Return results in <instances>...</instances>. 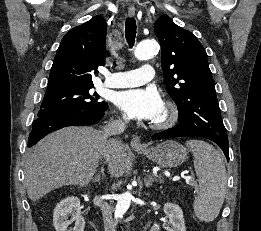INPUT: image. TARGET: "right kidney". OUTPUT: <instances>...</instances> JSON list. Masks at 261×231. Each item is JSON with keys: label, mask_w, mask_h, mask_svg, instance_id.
<instances>
[{"label": "right kidney", "mask_w": 261, "mask_h": 231, "mask_svg": "<svg viewBox=\"0 0 261 231\" xmlns=\"http://www.w3.org/2000/svg\"><path fill=\"white\" fill-rule=\"evenodd\" d=\"M69 217L71 218L68 219ZM73 222L75 226L68 228ZM53 225L56 231H84L85 220L81 215L78 197H68L57 204L53 213Z\"/></svg>", "instance_id": "ca27d5eb"}]
</instances>
